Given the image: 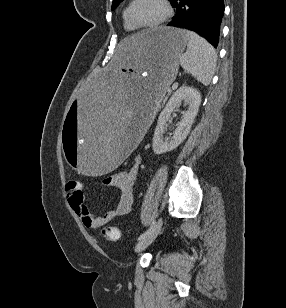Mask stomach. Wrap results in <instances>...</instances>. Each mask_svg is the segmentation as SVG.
Instances as JSON below:
<instances>
[{
  "label": "stomach",
  "mask_w": 286,
  "mask_h": 308,
  "mask_svg": "<svg viewBox=\"0 0 286 308\" xmlns=\"http://www.w3.org/2000/svg\"><path fill=\"white\" fill-rule=\"evenodd\" d=\"M188 45L185 30L157 27L124 36L111 60L96 69L63 118L62 153L71 173L108 177L137 149L146 125L175 80Z\"/></svg>",
  "instance_id": "1"
}]
</instances>
